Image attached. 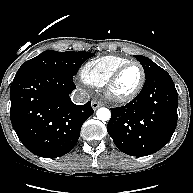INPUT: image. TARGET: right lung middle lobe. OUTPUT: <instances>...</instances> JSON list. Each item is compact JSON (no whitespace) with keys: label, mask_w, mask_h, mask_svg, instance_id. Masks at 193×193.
Listing matches in <instances>:
<instances>
[{"label":"right lung middle lobe","mask_w":193,"mask_h":193,"mask_svg":"<svg viewBox=\"0 0 193 193\" xmlns=\"http://www.w3.org/2000/svg\"><path fill=\"white\" fill-rule=\"evenodd\" d=\"M92 56H94L93 53L83 51H44L22 64L15 76L28 73H50L73 79L80 66Z\"/></svg>","instance_id":"obj_1"}]
</instances>
